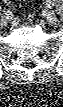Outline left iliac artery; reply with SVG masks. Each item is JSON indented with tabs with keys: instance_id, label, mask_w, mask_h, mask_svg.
I'll return each mask as SVG.
<instances>
[{
	"instance_id": "44dca946",
	"label": "left iliac artery",
	"mask_w": 63,
	"mask_h": 107,
	"mask_svg": "<svg viewBox=\"0 0 63 107\" xmlns=\"http://www.w3.org/2000/svg\"><path fill=\"white\" fill-rule=\"evenodd\" d=\"M53 5H54V2H53V1H51V0H48V1H47V6H48L49 8L53 7Z\"/></svg>"
}]
</instances>
